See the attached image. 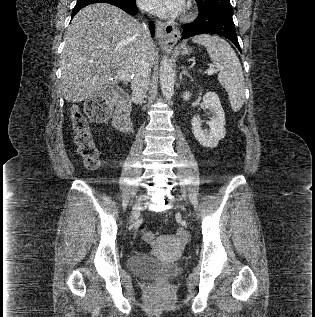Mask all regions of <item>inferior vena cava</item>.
Instances as JSON below:
<instances>
[{
  "label": "inferior vena cava",
  "mask_w": 315,
  "mask_h": 317,
  "mask_svg": "<svg viewBox=\"0 0 315 317\" xmlns=\"http://www.w3.org/2000/svg\"><path fill=\"white\" fill-rule=\"evenodd\" d=\"M141 28L143 34L138 47L135 70L131 77L132 98L138 103H142L146 95L151 75V66L148 56V45L151 41V36L146 24H141Z\"/></svg>",
  "instance_id": "obj_1"
}]
</instances>
